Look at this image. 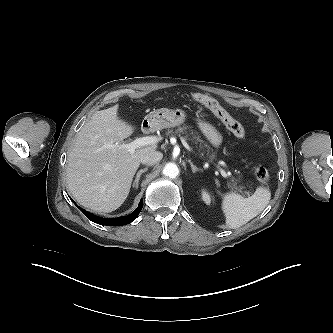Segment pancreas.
<instances>
[{
    "instance_id": "1",
    "label": "pancreas",
    "mask_w": 333,
    "mask_h": 333,
    "mask_svg": "<svg viewBox=\"0 0 333 333\" xmlns=\"http://www.w3.org/2000/svg\"><path fill=\"white\" fill-rule=\"evenodd\" d=\"M187 129H189L188 126H183V127H179L176 130H171L168 129L167 131V135H172L174 133L176 134H180V133H187ZM190 135L192 136L195 144L199 143L200 148H202V145L204 144V141L200 139L199 136L196 135V133L193 132V130H190ZM204 147H206L207 152L210 151V147L207 144H204ZM228 187L231 188L232 190H240V188L237 186V182L234 179H231L230 182H228Z\"/></svg>"
}]
</instances>
